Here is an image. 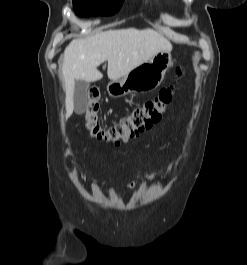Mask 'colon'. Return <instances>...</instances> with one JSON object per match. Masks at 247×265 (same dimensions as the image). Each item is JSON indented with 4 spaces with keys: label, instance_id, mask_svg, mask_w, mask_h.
I'll return each instance as SVG.
<instances>
[{
    "label": "colon",
    "instance_id": "1",
    "mask_svg": "<svg viewBox=\"0 0 247 265\" xmlns=\"http://www.w3.org/2000/svg\"><path fill=\"white\" fill-rule=\"evenodd\" d=\"M184 70L177 68V76H181ZM174 95V85L162 88L158 95L147 100L142 105L133 108L116 124L103 127L99 120L101 109L100 93L97 89H91L87 95V105L83 115V122L90 136L107 143L119 145L129 139L137 137L143 131L162 119Z\"/></svg>",
    "mask_w": 247,
    "mask_h": 265
}]
</instances>
